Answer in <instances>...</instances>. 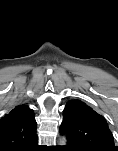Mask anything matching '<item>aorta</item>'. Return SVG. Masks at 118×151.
I'll return each mask as SVG.
<instances>
[{"mask_svg": "<svg viewBox=\"0 0 118 151\" xmlns=\"http://www.w3.org/2000/svg\"><path fill=\"white\" fill-rule=\"evenodd\" d=\"M61 145H65L67 143V140L65 137H62L60 140Z\"/></svg>", "mask_w": 118, "mask_h": 151, "instance_id": "obj_1", "label": "aorta"}]
</instances>
